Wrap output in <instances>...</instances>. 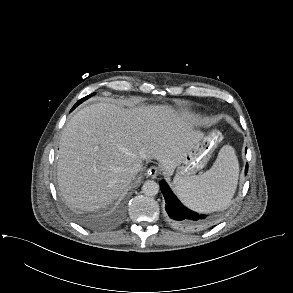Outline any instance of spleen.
<instances>
[{"label":"spleen","mask_w":293,"mask_h":293,"mask_svg":"<svg viewBox=\"0 0 293 293\" xmlns=\"http://www.w3.org/2000/svg\"><path fill=\"white\" fill-rule=\"evenodd\" d=\"M239 164L234 149L223 146L211 169L178 180L175 190L184 204L196 211L212 212L225 208L235 193Z\"/></svg>","instance_id":"spleen-1"}]
</instances>
